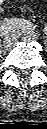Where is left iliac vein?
<instances>
[{
	"label": "left iliac vein",
	"mask_w": 47,
	"mask_h": 129,
	"mask_svg": "<svg viewBox=\"0 0 47 129\" xmlns=\"http://www.w3.org/2000/svg\"><path fill=\"white\" fill-rule=\"evenodd\" d=\"M19 35L24 42H31L37 40V34L34 32L22 31Z\"/></svg>",
	"instance_id": "obj_1"
}]
</instances>
